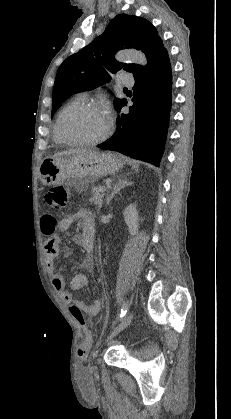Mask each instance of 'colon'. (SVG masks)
<instances>
[{
  "mask_svg": "<svg viewBox=\"0 0 231 419\" xmlns=\"http://www.w3.org/2000/svg\"><path fill=\"white\" fill-rule=\"evenodd\" d=\"M69 200V189L66 185H56L49 188L45 194V201L52 205L58 210H62L67 207ZM74 316L79 320L83 321V316L75 307H71ZM92 343L91 333L88 330H84V344L82 349L87 348Z\"/></svg>",
  "mask_w": 231,
  "mask_h": 419,
  "instance_id": "colon-1",
  "label": "colon"
}]
</instances>
